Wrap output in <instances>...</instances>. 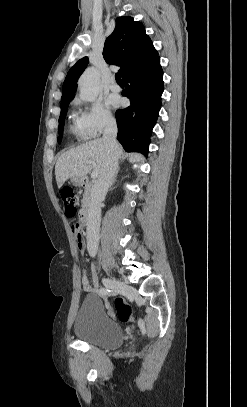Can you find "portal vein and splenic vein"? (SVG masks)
Returning a JSON list of instances; mask_svg holds the SVG:
<instances>
[{"mask_svg": "<svg viewBox=\"0 0 247 407\" xmlns=\"http://www.w3.org/2000/svg\"><path fill=\"white\" fill-rule=\"evenodd\" d=\"M88 164H90L92 167L95 168L94 171L91 173V178H92V179L97 178L98 175H99V173H98V171H97V169H96V164H95V162H94V161H88Z\"/></svg>", "mask_w": 247, "mask_h": 407, "instance_id": "18ae733b", "label": "portal vein and splenic vein"}]
</instances>
